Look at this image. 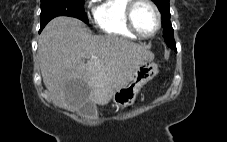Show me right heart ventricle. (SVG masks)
Here are the masks:
<instances>
[{
    "label": "right heart ventricle",
    "mask_w": 227,
    "mask_h": 142,
    "mask_svg": "<svg viewBox=\"0 0 227 142\" xmlns=\"http://www.w3.org/2000/svg\"><path fill=\"white\" fill-rule=\"evenodd\" d=\"M129 0H102L96 7L94 18L97 28L104 34L136 39L127 27L125 9Z\"/></svg>",
    "instance_id": "right-heart-ventricle-1"
}]
</instances>
